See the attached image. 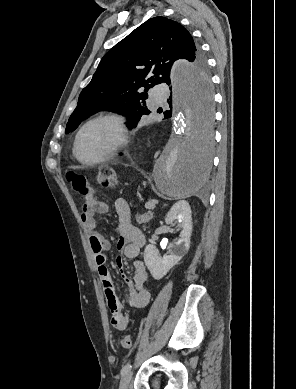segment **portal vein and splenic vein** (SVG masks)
Instances as JSON below:
<instances>
[{
  "mask_svg": "<svg viewBox=\"0 0 296 389\" xmlns=\"http://www.w3.org/2000/svg\"><path fill=\"white\" fill-rule=\"evenodd\" d=\"M157 200H150L148 203L145 204L146 209H154L155 204L157 203Z\"/></svg>",
  "mask_w": 296,
  "mask_h": 389,
  "instance_id": "obj_1",
  "label": "portal vein and splenic vein"
}]
</instances>
